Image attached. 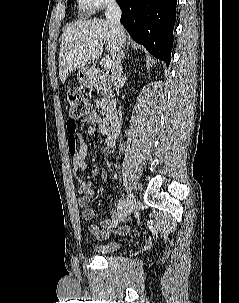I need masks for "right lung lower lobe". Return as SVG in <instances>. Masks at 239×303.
<instances>
[{
  "mask_svg": "<svg viewBox=\"0 0 239 303\" xmlns=\"http://www.w3.org/2000/svg\"><path fill=\"white\" fill-rule=\"evenodd\" d=\"M177 0H117L122 10L121 23L131 37L150 54L171 60Z\"/></svg>",
  "mask_w": 239,
  "mask_h": 303,
  "instance_id": "right-lung-lower-lobe-1",
  "label": "right lung lower lobe"
}]
</instances>
